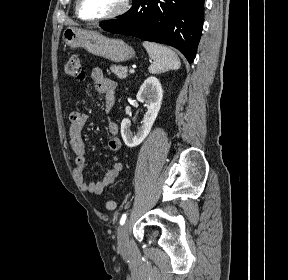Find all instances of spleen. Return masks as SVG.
<instances>
[{"label": "spleen", "instance_id": "spleen-1", "mask_svg": "<svg viewBox=\"0 0 288 280\" xmlns=\"http://www.w3.org/2000/svg\"><path fill=\"white\" fill-rule=\"evenodd\" d=\"M143 47L146 49L149 57L154 60L148 68L150 73L160 74L168 70L180 68V59L170 48L148 41L143 42Z\"/></svg>", "mask_w": 288, "mask_h": 280}]
</instances>
